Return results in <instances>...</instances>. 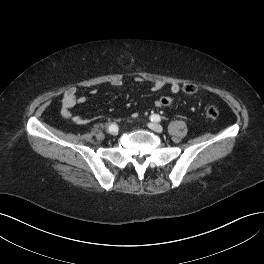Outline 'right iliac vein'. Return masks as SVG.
<instances>
[{"label": "right iliac vein", "instance_id": "obj_1", "mask_svg": "<svg viewBox=\"0 0 264 264\" xmlns=\"http://www.w3.org/2000/svg\"><path fill=\"white\" fill-rule=\"evenodd\" d=\"M111 135L116 136L118 134L117 128L110 132Z\"/></svg>", "mask_w": 264, "mask_h": 264}]
</instances>
